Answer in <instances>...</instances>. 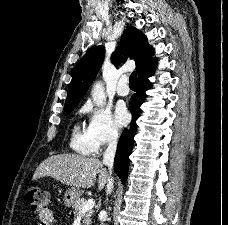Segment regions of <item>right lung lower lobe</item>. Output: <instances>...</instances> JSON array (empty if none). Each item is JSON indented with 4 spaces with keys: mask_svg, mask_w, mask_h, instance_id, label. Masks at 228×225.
I'll use <instances>...</instances> for the list:
<instances>
[{
    "mask_svg": "<svg viewBox=\"0 0 228 225\" xmlns=\"http://www.w3.org/2000/svg\"><path fill=\"white\" fill-rule=\"evenodd\" d=\"M156 60L154 59L143 69H141L138 74V89L137 93L131 97L130 100V110L132 114V122L130 124V129H125L122 133L115 156L114 169L117 175L120 177L122 183L124 184L127 180V173L129 169V155L131 154L134 136L137 130L136 120L140 116L141 109L140 106L145 101L146 90L151 87V83L148 77L151 76L155 71Z\"/></svg>",
    "mask_w": 228,
    "mask_h": 225,
    "instance_id": "right-lung-lower-lobe-1",
    "label": "right lung lower lobe"
}]
</instances>
